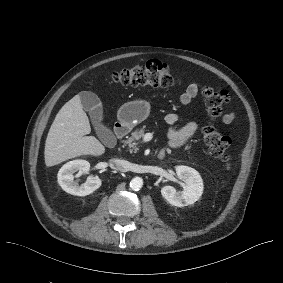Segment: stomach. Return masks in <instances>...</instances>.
I'll return each mask as SVG.
<instances>
[{
    "label": "stomach",
    "mask_w": 283,
    "mask_h": 283,
    "mask_svg": "<svg viewBox=\"0 0 283 283\" xmlns=\"http://www.w3.org/2000/svg\"><path fill=\"white\" fill-rule=\"evenodd\" d=\"M148 116L146 115V109L143 105L130 102L127 103L123 110H119L117 114L118 120L124 125L130 128L136 126L145 120Z\"/></svg>",
    "instance_id": "1"
}]
</instances>
